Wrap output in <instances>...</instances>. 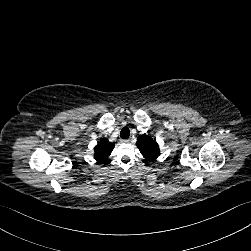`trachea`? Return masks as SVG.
Here are the masks:
<instances>
[{
  "instance_id": "trachea-1",
  "label": "trachea",
  "mask_w": 251,
  "mask_h": 251,
  "mask_svg": "<svg viewBox=\"0 0 251 251\" xmlns=\"http://www.w3.org/2000/svg\"><path fill=\"white\" fill-rule=\"evenodd\" d=\"M120 136L122 139H128L130 136V130L127 127H123L121 132H120Z\"/></svg>"
}]
</instances>
